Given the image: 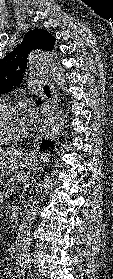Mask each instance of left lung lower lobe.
Listing matches in <instances>:
<instances>
[{
  "label": "left lung lower lobe",
  "instance_id": "obj_1",
  "mask_svg": "<svg viewBox=\"0 0 113 279\" xmlns=\"http://www.w3.org/2000/svg\"><path fill=\"white\" fill-rule=\"evenodd\" d=\"M51 147L52 148L54 147V143L51 142V141H43L40 145L41 150H46V149H49Z\"/></svg>",
  "mask_w": 113,
  "mask_h": 279
}]
</instances>
